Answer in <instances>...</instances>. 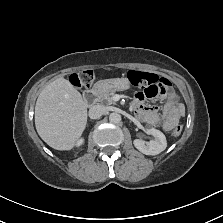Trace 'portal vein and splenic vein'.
<instances>
[{"mask_svg": "<svg viewBox=\"0 0 223 223\" xmlns=\"http://www.w3.org/2000/svg\"><path fill=\"white\" fill-rule=\"evenodd\" d=\"M114 98L120 99V95H115Z\"/></svg>", "mask_w": 223, "mask_h": 223, "instance_id": "portal-vein-and-splenic-vein-1", "label": "portal vein and splenic vein"}]
</instances>
